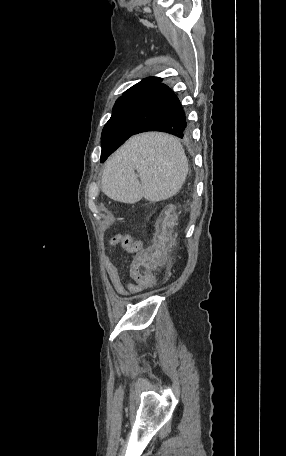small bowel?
<instances>
[{
    "label": "small bowel",
    "mask_w": 286,
    "mask_h": 456,
    "mask_svg": "<svg viewBox=\"0 0 286 456\" xmlns=\"http://www.w3.org/2000/svg\"><path fill=\"white\" fill-rule=\"evenodd\" d=\"M141 245H143L141 240L134 239L129 235L118 234L111 238L109 252L110 254L115 252L120 246L127 252H137V247ZM104 268L111 286L118 295L127 297L130 294H135L141 291L134 283H129L126 287L124 286L119 270L113 263L110 255H107L104 259Z\"/></svg>",
    "instance_id": "small-bowel-1"
}]
</instances>
